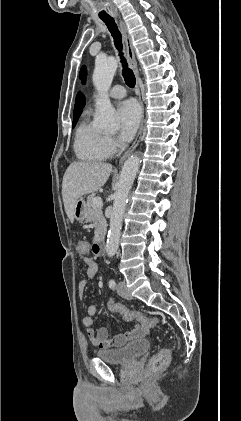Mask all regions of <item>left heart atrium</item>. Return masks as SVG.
Segmentation results:
<instances>
[{
  "mask_svg": "<svg viewBox=\"0 0 241 421\" xmlns=\"http://www.w3.org/2000/svg\"><path fill=\"white\" fill-rule=\"evenodd\" d=\"M141 112L133 100H125L118 105L117 120L119 124V137L122 141H129L135 134Z\"/></svg>",
  "mask_w": 241,
  "mask_h": 421,
  "instance_id": "39dd6f15",
  "label": "left heart atrium"
}]
</instances>
